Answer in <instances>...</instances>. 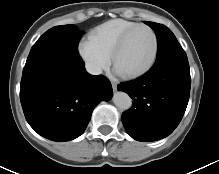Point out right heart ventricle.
I'll return each instance as SVG.
<instances>
[{
    "mask_svg": "<svg viewBox=\"0 0 219 174\" xmlns=\"http://www.w3.org/2000/svg\"><path fill=\"white\" fill-rule=\"evenodd\" d=\"M138 24L139 23L137 22L120 18L112 19L98 25L91 30L88 38L98 47H100L105 53L111 56L117 42L122 35Z\"/></svg>",
    "mask_w": 219,
    "mask_h": 174,
    "instance_id": "right-heart-ventricle-1",
    "label": "right heart ventricle"
}]
</instances>
